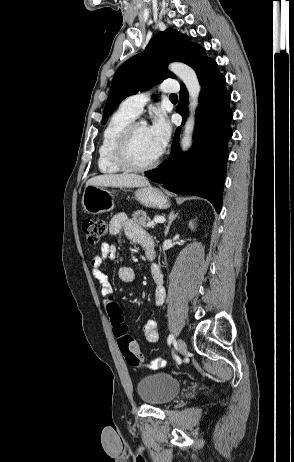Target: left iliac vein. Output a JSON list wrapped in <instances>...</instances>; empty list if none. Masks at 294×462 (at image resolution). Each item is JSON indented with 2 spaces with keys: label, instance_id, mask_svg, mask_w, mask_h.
<instances>
[{
  "label": "left iliac vein",
  "instance_id": "left-iliac-vein-1",
  "mask_svg": "<svg viewBox=\"0 0 294 462\" xmlns=\"http://www.w3.org/2000/svg\"><path fill=\"white\" fill-rule=\"evenodd\" d=\"M177 348L180 354H185L187 351L186 343L183 339H178Z\"/></svg>",
  "mask_w": 294,
  "mask_h": 462
}]
</instances>
